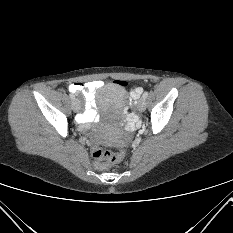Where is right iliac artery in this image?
I'll return each instance as SVG.
<instances>
[{"instance_id":"right-iliac-artery-1","label":"right iliac artery","mask_w":233,"mask_h":233,"mask_svg":"<svg viewBox=\"0 0 233 233\" xmlns=\"http://www.w3.org/2000/svg\"><path fill=\"white\" fill-rule=\"evenodd\" d=\"M69 96H70V98H71L72 100H74V99H75V95L70 94Z\"/></svg>"}]
</instances>
